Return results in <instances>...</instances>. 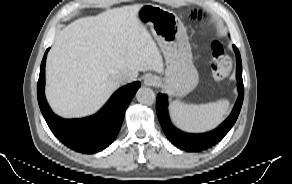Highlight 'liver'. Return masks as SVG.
Here are the masks:
<instances>
[{"instance_id": "6515ba94", "label": "liver", "mask_w": 292, "mask_h": 184, "mask_svg": "<svg viewBox=\"0 0 292 184\" xmlns=\"http://www.w3.org/2000/svg\"><path fill=\"white\" fill-rule=\"evenodd\" d=\"M134 14L126 8L106 12L61 32L46 69V98L55 113L64 118L94 114L118 88V77L132 81L139 71L159 67L160 58L139 34Z\"/></svg>"}]
</instances>
